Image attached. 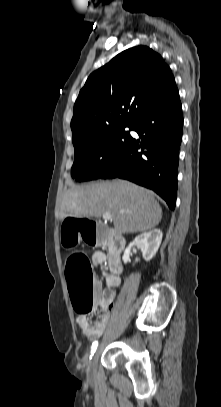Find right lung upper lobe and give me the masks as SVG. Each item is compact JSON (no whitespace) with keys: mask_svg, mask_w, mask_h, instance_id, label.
Segmentation results:
<instances>
[{"mask_svg":"<svg viewBox=\"0 0 221 407\" xmlns=\"http://www.w3.org/2000/svg\"><path fill=\"white\" fill-rule=\"evenodd\" d=\"M176 87L169 66L147 46L129 48L87 79L74 105L73 144L107 129L134 124Z\"/></svg>","mask_w":221,"mask_h":407,"instance_id":"1","label":"right lung upper lobe"}]
</instances>
